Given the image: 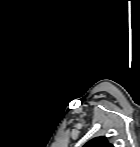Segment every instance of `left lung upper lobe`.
I'll return each instance as SVG.
<instances>
[{
	"instance_id": "5c2ea615",
	"label": "left lung upper lobe",
	"mask_w": 140,
	"mask_h": 147,
	"mask_svg": "<svg viewBox=\"0 0 140 147\" xmlns=\"http://www.w3.org/2000/svg\"><path fill=\"white\" fill-rule=\"evenodd\" d=\"M84 147H113V145L107 141L106 137H97L86 143Z\"/></svg>"
}]
</instances>
